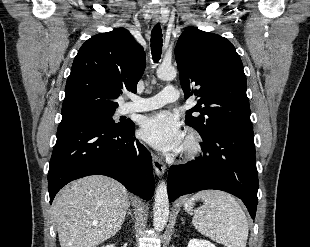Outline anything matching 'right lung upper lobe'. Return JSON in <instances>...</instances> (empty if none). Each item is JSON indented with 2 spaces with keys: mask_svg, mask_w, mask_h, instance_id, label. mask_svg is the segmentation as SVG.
Wrapping results in <instances>:
<instances>
[{
  "mask_svg": "<svg viewBox=\"0 0 310 247\" xmlns=\"http://www.w3.org/2000/svg\"><path fill=\"white\" fill-rule=\"evenodd\" d=\"M145 62L143 48L128 30L94 35L74 59L62 111L81 106L116 109L122 89L136 92Z\"/></svg>",
  "mask_w": 310,
  "mask_h": 247,
  "instance_id": "obj_1",
  "label": "right lung upper lobe"
}]
</instances>
